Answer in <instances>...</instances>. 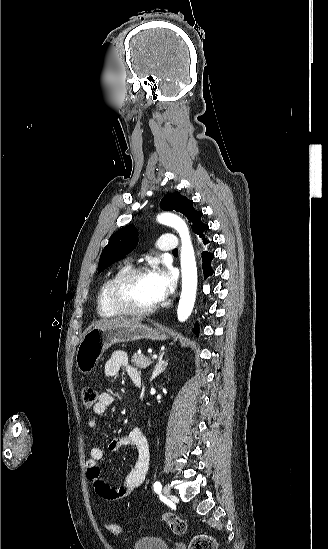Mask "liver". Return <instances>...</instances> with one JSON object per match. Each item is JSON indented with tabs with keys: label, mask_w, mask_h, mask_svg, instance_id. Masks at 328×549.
Listing matches in <instances>:
<instances>
[{
	"label": "liver",
	"mask_w": 328,
	"mask_h": 549,
	"mask_svg": "<svg viewBox=\"0 0 328 549\" xmlns=\"http://www.w3.org/2000/svg\"><path fill=\"white\" fill-rule=\"evenodd\" d=\"M132 323H140L139 319H107V321H99L96 327H110V325H122V327H130Z\"/></svg>",
	"instance_id": "obj_1"
}]
</instances>
